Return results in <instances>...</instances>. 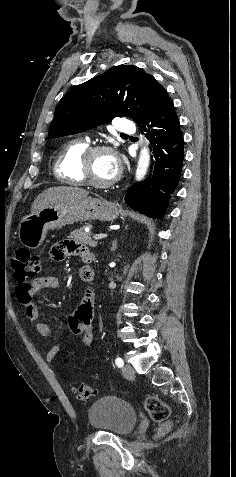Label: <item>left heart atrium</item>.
Instances as JSON below:
<instances>
[{"instance_id": "left-heart-atrium-1", "label": "left heart atrium", "mask_w": 236, "mask_h": 477, "mask_svg": "<svg viewBox=\"0 0 236 477\" xmlns=\"http://www.w3.org/2000/svg\"><path fill=\"white\" fill-rule=\"evenodd\" d=\"M114 167H115L116 172H118L120 164H119V161L116 157H114Z\"/></svg>"}]
</instances>
